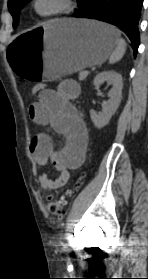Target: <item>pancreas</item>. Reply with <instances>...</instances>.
<instances>
[{
  "instance_id": "pancreas-1",
  "label": "pancreas",
  "mask_w": 148,
  "mask_h": 279,
  "mask_svg": "<svg viewBox=\"0 0 148 279\" xmlns=\"http://www.w3.org/2000/svg\"><path fill=\"white\" fill-rule=\"evenodd\" d=\"M85 79V76H83V72L79 73V80L83 81Z\"/></svg>"
}]
</instances>
